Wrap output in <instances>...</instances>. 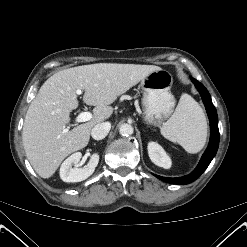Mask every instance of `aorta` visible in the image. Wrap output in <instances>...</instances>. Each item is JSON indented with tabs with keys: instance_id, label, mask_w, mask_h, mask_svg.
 <instances>
[{
	"instance_id": "1",
	"label": "aorta",
	"mask_w": 247,
	"mask_h": 247,
	"mask_svg": "<svg viewBox=\"0 0 247 247\" xmlns=\"http://www.w3.org/2000/svg\"><path fill=\"white\" fill-rule=\"evenodd\" d=\"M133 131H134V129H133L132 125L127 124V123L122 124V125L120 126V128H119V133H120L122 136H130V135L133 134Z\"/></svg>"
}]
</instances>
